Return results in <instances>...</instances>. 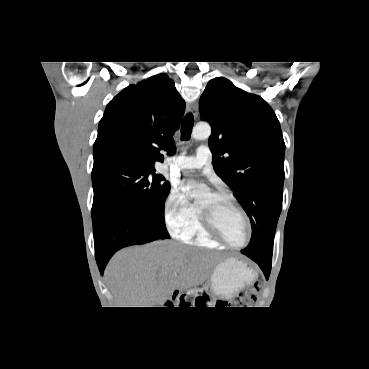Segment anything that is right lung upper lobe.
<instances>
[{"mask_svg": "<svg viewBox=\"0 0 369 369\" xmlns=\"http://www.w3.org/2000/svg\"><path fill=\"white\" fill-rule=\"evenodd\" d=\"M184 111L185 102L166 74L123 89L100 120L94 166L126 163L154 168L155 161L164 160L160 150L174 154L173 134Z\"/></svg>", "mask_w": 369, "mask_h": 369, "instance_id": "obj_1", "label": "right lung upper lobe"}]
</instances>
